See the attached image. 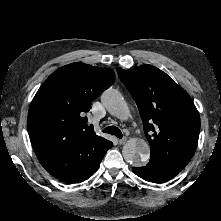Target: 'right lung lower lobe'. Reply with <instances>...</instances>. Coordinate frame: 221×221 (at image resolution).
I'll use <instances>...</instances> for the list:
<instances>
[{"label": "right lung lower lobe", "instance_id": "right-lung-lower-lobe-1", "mask_svg": "<svg viewBox=\"0 0 221 221\" xmlns=\"http://www.w3.org/2000/svg\"><path fill=\"white\" fill-rule=\"evenodd\" d=\"M112 146V142L102 137H92L66 146L39 161L57 179L69 184L80 183L97 171Z\"/></svg>", "mask_w": 221, "mask_h": 221}]
</instances>
